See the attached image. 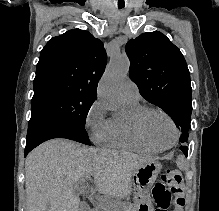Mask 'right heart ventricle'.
<instances>
[{"instance_id": "obj_1", "label": "right heart ventricle", "mask_w": 219, "mask_h": 211, "mask_svg": "<svg viewBox=\"0 0 219 211\" xmlns=\"http://www.w3.org/2000/svg\"><path fill=\"white\" fill-rule=\"evenodd\" d=\"M125 107L123 115L113 116L111 121V134L109 142L114 147L126 150L156 153L158 150L143 142L133 126V116L141 108L139 102H122Z\"/></svg>"}]
</instances>
